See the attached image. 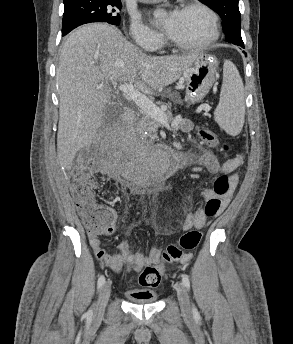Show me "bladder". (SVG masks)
Listing matches in <instances>:
<instances>
[{
	"mask_svg": "<svg viewBox=\"0 0 293 344\" xmlns=\"http://www.w3.org/2000/svg\"><path fill=\"white\" fill-rule=\"evenodd\" d=\"M125 295L130 301L141 305L153 304L158 298L157 293H144L137 290H127Z\"/></svg>",
	"mask_w": 293,
	"mask_h": 344,
	"instance_id": "1",
	"label": "bladder"
}]
</instances>
